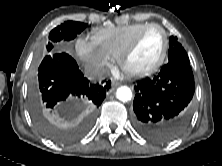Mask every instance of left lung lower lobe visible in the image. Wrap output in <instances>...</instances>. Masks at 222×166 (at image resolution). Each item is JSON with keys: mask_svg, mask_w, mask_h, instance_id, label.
I'll use <instances>...</instances> for the list:
<instances>
[{"mask_svg": "<svg viewBox=\"0 0 222 166\" xmlns=\"http://www.w3.org/2000/svg\"><path fill=\"white\" fill-rule=\"evenodd\" d=\"M134 88L135 127L142 136L167 143L184 132L195 90L190 63H169L157 76L140 81Z\"/></svg>", "mask_w": 222, "mask_h": 166, "instance_id": "left-lung-lower-lobe-1", "label": "left lung lower lobe"}]
</instances>
